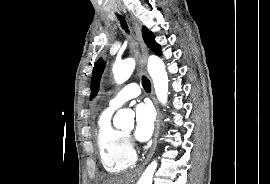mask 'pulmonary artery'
<instances>
[{"label": "pulmonary artery", "mask_w": 270, "mask_h": 184, "mask_svg": "<svg viewBox=\"0 0 270 184\" xmlns=\"http://www.w3.org/2000/svg\"><path fill=\"white\" fill-rule=\"evenodd\" d=\"M141 92L140 86L137 83H130L122 88L110 101L109 109H117L126 101L137 97Z\"/></svg>", "instance_id": "pulmonary-artery-1"}]
</instances>
